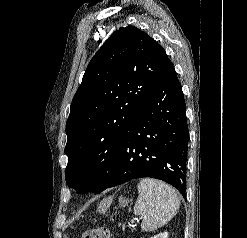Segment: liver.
<instances>
[{"label": "liver", "instance_id": "6515ba94", "mask_svg": "<svg viewBox=\"0 0 247 238\" xmlns=\"http://www.w3.org/2000/svg\"><path fill=\"white\" fill-rule=\"evenodd\" d=\"M106 203H107V200H104L102 203H100L98 209L99 210L103 209V207H105Z\"/></svg>", "mask_w": 247, "mask_h": 238}]
</instances>
